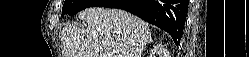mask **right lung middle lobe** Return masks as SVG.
Segmentation results:
<instances>
[{
    "instance_id": "dd1d6c3e",
    "label": "right lung middle lobe",
    "mask_w": 249,
    "mask_h": 57,
    "mask_svg": "<svg viewBox=\"0 0 249 57\" xmlns=\"http://www.w3.org/2000/svg\"><path fill=\"white\" fill-rule=\"evenodd\" d=\"M106 1L107 0H65L62 8V16L65 14H76L85 8L99 6Z\"/></svg>"
}]
</instances>
